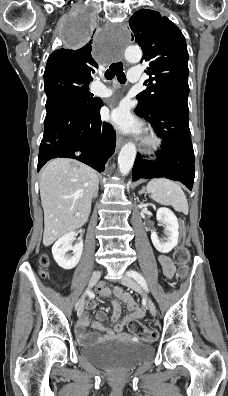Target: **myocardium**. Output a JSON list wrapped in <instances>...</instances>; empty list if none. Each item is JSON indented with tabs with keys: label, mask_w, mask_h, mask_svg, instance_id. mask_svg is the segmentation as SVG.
Returning a JSON list of instances; mask_svg holds the SVG:
<instances>
[{
	"label": "myocardium",
	"mask_w": 228,
	"mask_h": 396,
	"mask_svg": "<svg viewBox=\"0 0 228 396\" xmlns=\"http://www.w3.org/2000/svg\"><path fill=\"white\" fill-rule=\"evenodd\" d=\"M161 140L154 134L147 135L143 140V147L147 152H154L159 149Z\"/></svg>",
	"instance_id": "obj_1"
}]
</instances>
